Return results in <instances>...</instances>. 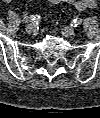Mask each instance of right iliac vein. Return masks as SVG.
Listing matches in <instances>:
<instances>
[{"mask_svg":"<svg viewBox=\"0 0 100 118\" xmlns=\"http://www.w3.org/2000/svg\"><path fill=\"white\" fill-rule=\"evenodd\" d=\"M26 32L28 33V34H32V33H34L35 32V27L33 26V25H28L27 27H26Z\"/></svg>","mask_w":100,"mask_h":118,"instance_id":"obj_1","label":"right iliac vein"}]
</instances>
